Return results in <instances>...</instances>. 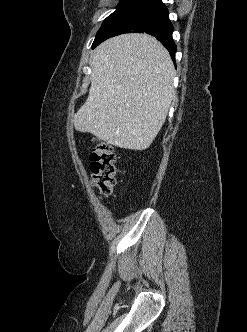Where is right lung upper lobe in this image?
<instances>
[{"instance_id": "right-lung-upper-lobe-1", "label": "right lung upper lobe", "mask_w": 247, "mask_h": 332, "mask_svg": "<svg viewBox=\"0 0 247 332\" xmlns=\"http://www.w3.org/2000/svg\"><path fill=\"white\" fill-rule=\"evenodd\" d=\"M146 2H150V1H152V0H145Z\"/></svg>"}]
</instances>
